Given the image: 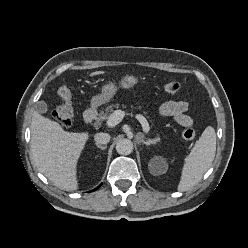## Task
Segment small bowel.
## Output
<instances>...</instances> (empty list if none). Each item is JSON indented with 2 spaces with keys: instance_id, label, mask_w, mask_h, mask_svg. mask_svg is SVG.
Here are the masks:
<instances>
[{
  "instance_id": "c3829d8e",
  "label": "small bowel",
  "mask_w": 248,
  "mask_h": 248,
  "mask_svg": "<svg viewBox=\"0 0 248 248\" xmlns=\"http://www.w3.org/2000/svg\"><path fill=\"white\" fill-rule=\"evenodd\" d=\"M189 104L186 101H167L159 108L160 115L171 117L180 126L190 127L193 119L186 114Z\"/></svg>"
}]
</instances>
